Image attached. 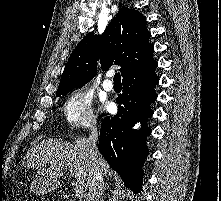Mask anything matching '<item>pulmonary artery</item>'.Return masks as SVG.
Segmentation results:
<instances>
[{
    "instance_id": "pulmonary-artery-1",
    "label": "pulmonary artery",
    "mask_w": 221,
    "mask_h": 201,
    "mask_svg": "<svg viewBox=\"0 0 221 201\" xmlns=\"http://www.w3.org/2000/svg\"><path fill=\"white\" fill-rule=\"evenodd\" d=\"M111 73H108L107 74V79H105L104 81H103V84H102V86H103V88L106 90V91H111L112 89H113V84H112V82L110 81V79H109V77H111Z\"/></svg>"
}]
</instances>
